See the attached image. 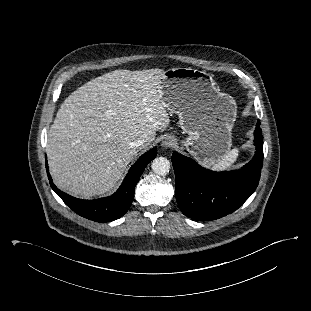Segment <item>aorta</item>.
Masks as SVG:
<instances>
[{
    "mask_svg": "<svg viewBox=\"0 0 311 311\" xmlns=\"http://www.w3.org/2000/svg\"><path fill=\"white\" fill-rule=\"evenodd\" d=\"M152 170L158 175H166L170 170V162L165 157H157L152 161Z\"/></svg>",
    "mask_w": 311,
    "mask_h": 311,
    "instance_id": "aorta-1",
    "label": "aorta"
}]
</instances>
